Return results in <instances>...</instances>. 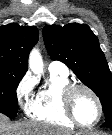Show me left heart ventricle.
<instances>
[{"mask_svg":"<svg viewBox=\"0 0 112 135\" xmlns=\"http://www.w3.org/2000/svg\"><path fill=\"white\" fill-rule=\"evenodd\" d=\"M73 109L83 124L93 123L98 116V108L93 97L85 90H77L73 96Z\"/></svg>","mask_w":112,"mask_h":135,"instance_id":"b2bd125f","label":"left heart ventricle"}]
</instances>
